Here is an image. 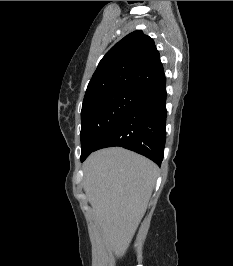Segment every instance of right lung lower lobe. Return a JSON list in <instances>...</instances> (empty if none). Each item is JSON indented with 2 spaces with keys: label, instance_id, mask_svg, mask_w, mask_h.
I'll return each mask as SVG.
<instances>
[{
  "label": "right lung lower lobe",
  "instance_id": "obj_1",
  "mask_svg": "<svg viewBox=\"0 0 233 266\" xmlns=\"http://www.w3.org/2000/svg\"><path fill=\"white\" fill-rule=\"evenodd\" d=\"M166 79L146 91L143 98L93 150L121 146L161 165L166 141ZM90 154V153H89ZM89 154L81 157L84 161Z\"/></svg>",
  "mask_w": 233,
  "mask_h": 266
}]
</instances>
